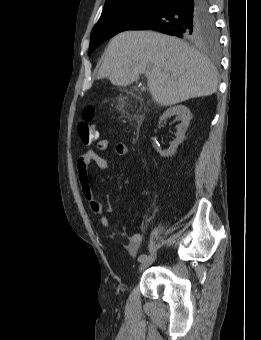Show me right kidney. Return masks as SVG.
Listing matches in <instances>:
<instances>
[{
    "mask_svg": "<svg viewBox=\"0 0 261 340\" xmlns=\"http://www.w3.org/2000/svg\"><path fill=\"white\" fill-rule=\"evenodd\" d=\"M176 115L177 118L181 121V123L177 126L176 138L172 141L170 147L165 151H157L163 157H169L175 154L178 145L183 141L185 132L189 126L190 120L192 118V114L190 110L184 105H177L167 109L163 115L160 117V121L166 120L171 116Z\"/></svg>",
    "mask_w": 261,
    "mask_h": 340,
    "instance_id": "ca27d5eb",
    "label": "right kidney"
}]
</instances>
